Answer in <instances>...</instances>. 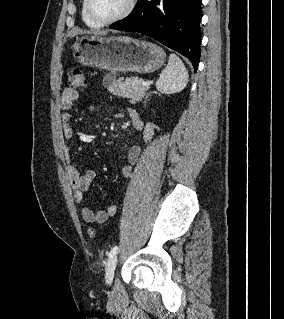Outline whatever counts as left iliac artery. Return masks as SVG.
Returning <instances> with one entry per match:
<instances>
[{
	"label": "left iliac artery",
	"mask_w": 284,
	"mask_h": 319,
	"mask_svg": "<svg viewBox=\"0 0 284 319\" xmlns=\"http://www.w3.org/2000/svg\"><path fill=\"white\" fill-rule=\"evenodd\" d=\"M117 250H118L117 246L113 247L109 253V258L113 257L117 253Z\"/></svg>",
	"instance_id": "1"
}]
</instances>
